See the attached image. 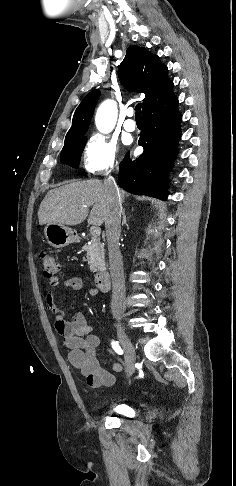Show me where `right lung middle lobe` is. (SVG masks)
I'll return each mask as SVG.
<instances>
[{
  "label": "right lung middle lobe",
  "mask_w": 236,
  "mask_h": 486,
  "mask_svg": "<svg viewBox=\"0 0 236 486\" xmlns=\"http://www.w3.org/2000/svg\"><path fill=\"white\" fill-rule=\"evenodd\" d=\"M86 140V137H82L74 142L64 144L60 156L61 162L78 168Z\"/></svg>",
  "instance_id": "right-lung-middle-lobe-1"
}]
</instances>
